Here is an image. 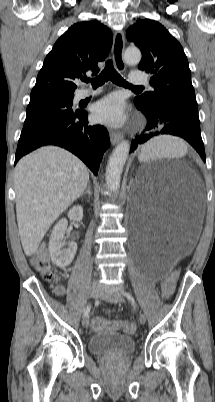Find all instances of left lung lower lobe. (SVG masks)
<instances>
[{"label": "left lung lower lobe", "instance_id": "left-lung-lower-lobe-1", "mask_svg": "<svg viewBox=\"0 0 215 402\" xmlns=\"http://www.w3.org/2000/svg\"><path fill=\"white\" fill-rule=\"evenodd\" d=\"M134 102L146 116L147 125L144 131L132 140L131 152L150 138L161 134H171L184 138L200 154L202 160L206 161L197 113L168 103L151 104L140 100H134Z\"/></svg>", "mask_w": 215, "mask_h": 402}]
</instances>
